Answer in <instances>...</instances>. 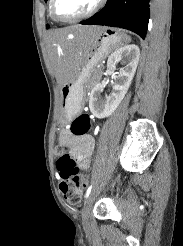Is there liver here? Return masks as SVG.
Segmentation results:
<instances>
[{"mask_svg": "<svg viewBox=\"0 0 183 246\" xmlns=\"http://www.w3.org/2000/svg\"><path fill=\"white\" fill-rule=\"evenodd\" d=\"M101 29L97 26H72L48 34L50 60L60 84L64 85L74 77L83 61L86 45L92 43ZM70 34H73V41L68 42Z\"/></svg>", "mask_w": 183, "mask_h": 246, "instance_id": "1", "label": "liver"}]
</instances>
